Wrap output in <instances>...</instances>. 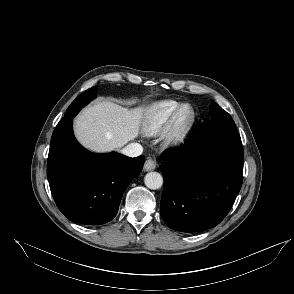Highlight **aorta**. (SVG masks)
<instances>
[{"label":"aorta","instance_id":"aorta-1","mask_svg":"<svg viewBox=\"0 0 294 294\" xmlns=\"http://www.w3.org/2000/svg\"><path fill=\"white\" fill-rule=\"evenodd\" d=\"M144 183L149 189L156 190L163 185V177L158 172H149L144 177Z\"/></svg>","mask_w":294,"mask_h":294}]
</instances>
